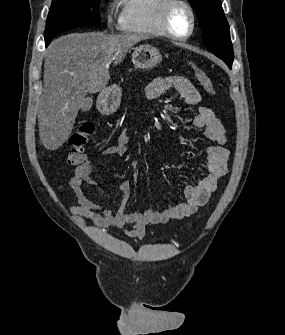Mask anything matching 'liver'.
<instances>
[{"label":"liver","mask_w":285,"mask_h":335,"mask_svg":"<svg viewBox=\"0 0 285 335\" xmlns=\"http://www.w3.org/2000/svg\"><path fill=\"white\" fill-rule=\"evenodd\" d=\"M146 40L140 34H68L51 42L44 64V90L38 116L47 150H58L75 124L86 94H97L110 80V64L124 60L129 48Z\"/></svg>","instance_id":"1"}]
</instances>
